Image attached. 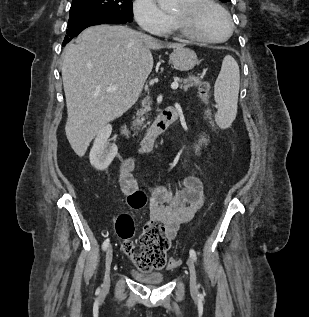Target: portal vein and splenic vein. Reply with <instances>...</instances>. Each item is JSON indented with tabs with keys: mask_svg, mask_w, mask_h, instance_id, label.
<instances>
[{
	"mask_svg": "<svg viewBox=\"0 0 309 317\" xmlns=\"http://www.w3.org/2000/svg\"><path fill=\"white\" fill-rule=\"evenodd\" d=\"M117 85H111L110 87L107 88V92H112L115 91L117 89ZM179 87L178 81H174L171 84V89L176 90Z\"/></svg>",
	"mask_w": 309,
	"mask_h": 317,
	"instance_id": "18ae733b",
	"label": "portal vein and splenic vein"
}]
</instances>
